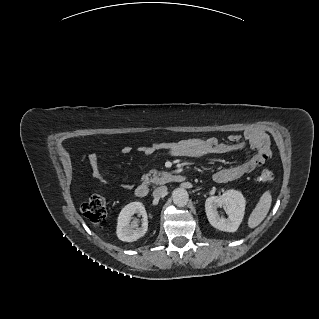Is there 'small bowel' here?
I'll return each instance as SVG.
<instances>
[{
    "instance_id": "small-bowel-1",
    "label": "small bowel",
    "mask_w": 319,
    "mask_h": 319,
    "mask_svg": "<svg viewBox=\"0 0 319 319\" xmlns=\"http://www.w3.org/2000/svg\"><path fill=\"white\" fill-rule=\"evenodd\" d=\"M266 143H268L267 135L264 132L251 131L246 133L245 139H242L240 135H230L228 142H222L214 137L184 139L175 142H154L142 145L140 152L145 156H150L159 150H163L173 157L204 158L238 152L249 146L255 151L252 157L240 164L223 168L214 173V181L226 183L239 179L262 166L267 158L261 154V148ZM131 152L132 148L130 146L122 148L124 155H129ZM89 165L93 179L107 184L108 181L101 170L97 154L89 155ZM131 186V183L122 184V187L126 189L131 188Z\"/></svg>"
}]
</instances>
